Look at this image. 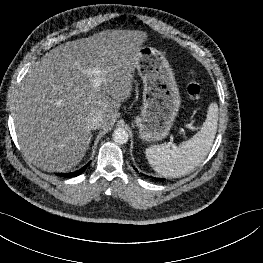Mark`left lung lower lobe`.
<instances>
[{"label": "left lung lower lobe", "instance_id": "left-lung-lower-lobe-1", "mask_svg": "<svg viewBox=\"0 0 263 263\" xmlns=\"http://www.w3.org/2000/svg\"><path fill=\"white\" fill-rule=\"evenodd\" d=\"M154 179L157 181H164V179H162V178H154Z\"/></svg>", "mask_w": 263, "mask_h": 263}]
</instances>
